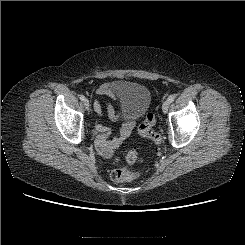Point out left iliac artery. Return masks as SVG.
Wrapping results in <instances>:
<instances>
[{"mask_svg":"<svg viewBox=\"0 0 245 245\" xmlns=\"http://www.w3.org/2000/svg\"><path fill=\"white\" fill-rule=\"evenodd\" d=\"M174 99H175V96L174 95H171V96L168 97V101L170 103H172L174 101Z\"/></svg>","mask_w":245,"mask_h":245,"instance_id":"obj_1","label":"left iliac artery"}]
</instances>
